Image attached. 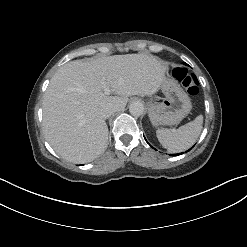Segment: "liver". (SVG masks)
<instances>
[{
	"mask_svg": "<svg viewBox=\"0 0 247 247\" xmlns=\"http://www.w3.org/2000/svg\"><path fill=\"white\" fill-rule=\"evenodd\" d=\"M167 68L153 56L126 54L75 60L53 75L43 97V129L62 158L87 163L108 145V127L101 111L125 108L128 97L153 95ZM105 84L115 96L104 94Z\"/></svg>",
	"mask_w": 247,
	"mask_h": 247,
	"instance_id": "6515ba94",
	"label": "liver"
}]
</instances>
